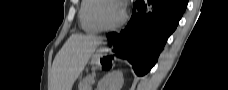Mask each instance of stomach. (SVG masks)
I'll return each instance as SVG.
<instances>
[{
	"label": "stomach",
	"instance_id": "stomach-1",
	"mask_svg": "<svg viewBox=\"0 0 228 90\" xmlns=\"http://www.w3.org/2000/svg\"><path fill=\"white\" fill-rule=\"evenodd\" d=\"M104 53V49L98 50L97 54L92 57L91 63L94 66H101L111 63L110 59L103 57Z\"/></svg>",
	"mask_w": 228,
	"mask_h": 90
}]
</instances>
